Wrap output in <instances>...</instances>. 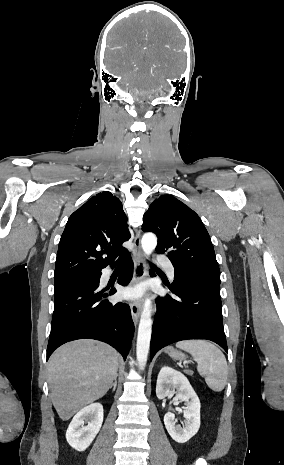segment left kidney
Wrapping results in <instances>:
<instances>
[{"instance_id":"left-kidney-1","label":"left kidney","mask_w":284,"mask_h":465,"mask_svg":"<svg viewBox=\"0 0 284 465\" xmlns=\"http://www.w3.org/2000/svg\"><path fill=\"white\" fill-rule=\"evenodd\" d=\"M172 389H178L175 399L184 401L185 407H181V409H184L185 427L182 429L180 425H176L174 413H166L164 417L165 427L176 443H187L200 429V401L188 379L182 373L171 369V367H162L156 385L158 399L175 395V391Z\"/></svg>"}]
</instances>
